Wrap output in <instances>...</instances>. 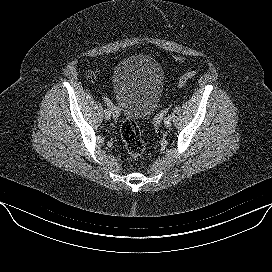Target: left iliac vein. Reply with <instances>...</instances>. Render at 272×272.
Returning a JSON list of instances; mask_svg holds the SVG:
<instances>
[{"label":"left iliac vein","mask_w":272,"mask_h":272,"mask_svg":"<svg viewBox=\"0 0 272 272\" xmlns=\"http://www.w3.org/2000/svg\"><path fill=\"white\" fill-rule=\"evenodd\" d=\"M164 124L166 127H170L172 125V119H167V117L164 120Z\"/></svg>","instance_id":"obj_1"}]
</instances>
